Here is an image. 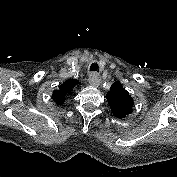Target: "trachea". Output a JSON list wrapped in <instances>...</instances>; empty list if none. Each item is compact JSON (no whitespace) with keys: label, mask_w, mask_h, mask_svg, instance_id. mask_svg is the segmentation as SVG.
<instances>
[{"label":"trachea","mask_w":177,"mask_h":177,"mask_svg":"<svg viewBox=\"0 0 177 177\" xmlns=\"http://www.w3.org/2000/svg\"><path fill=\"white\" fill-rule=\"evenodd\" d=\"M97 69H98L97 63H92V64H91V67H90V70H91V71H96Z\"/></svg>","instance_id":"3493384b"}]
</instances>
